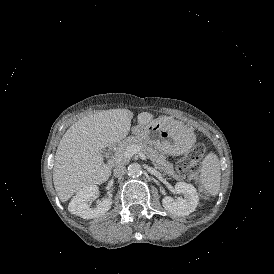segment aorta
<instances>
[{
	"label": "aorta",
	"mask_w": 274,
	"mask_h": 274,
	"mask_svg": "<svg viewBox=\"0 0 274 274\" xmlns=\"http://www.w3.org/2000/svg\"><path fill=\"white\" fill-rule=\"evenodd\" d=\"M127 172L130 177H138L142 174L141 166L138 163H132L128 166Z\"/></svg>",
	"instance_id": "1"
}]
</instances>
